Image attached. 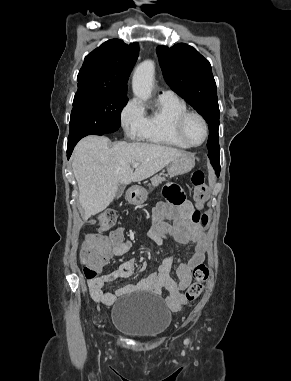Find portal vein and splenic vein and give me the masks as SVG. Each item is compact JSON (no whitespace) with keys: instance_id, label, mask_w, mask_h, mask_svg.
Segmentation results:
<instances>
[{"instance_id":"portal-vein-and-splenic-vein-1","label":"portal vein and splenic vein","mask_w":291,"mask_h":381,"mask_svg":"<svg viewBox=\"0 0 291 381\" xmlns=\"http://www.w3.org/2000/svg\"><path fill=\"white\" fill-rule=\"evenodd\" d=\"M132 166H133V168H137L139 166V164L138 163H134Z\"/></svg>"}]
</instances>
